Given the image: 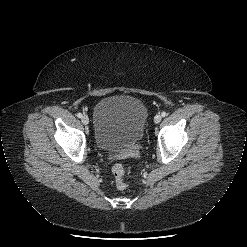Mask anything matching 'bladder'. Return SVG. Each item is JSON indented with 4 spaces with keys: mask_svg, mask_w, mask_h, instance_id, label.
I'll list each match as a JSON object with an SVG mask.
<instances>
[{
    "mask_svg": "<svg viewBox=\"0 0 247 247\" xmlns=\"http://www.w3.org/2000/svg\"><path fill=\"white\" fill-rule=\"evenodd\" d=\"M147 117L146 106L136 97L115 95L101 99L93 113L95 146L108 153L130 154L144 136Z\"/></svg>",
    "mask_w": 247,
    "mask_h": 247,
    "instance_id": "obj_1",
    "label": "bladder"
}]
</instances>
